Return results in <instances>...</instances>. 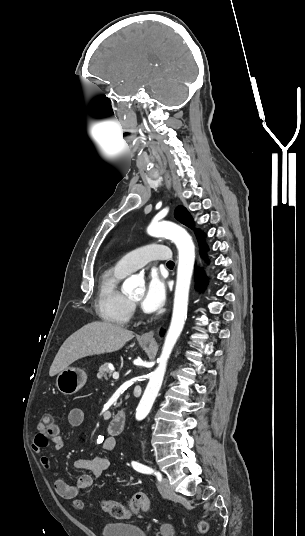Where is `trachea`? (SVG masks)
I'll list each match as a JSON object with an SVG mask.
<instances>
[{"instance_id": "1", "label": "trachea", "mask_w": 305, "mask_h": 536, "mask_svg": "<svg viewBox=\"0 0 305 536\" xmlns=\"http://www.w3.org/2000/svg\"><path fill=\"white\" fill-rule=\"evenodd\" d=\"M174 265H175V263H174L173 261H168V262H167V267H168L170 270L173 269Z\"/></svg>"}]
</instances>
